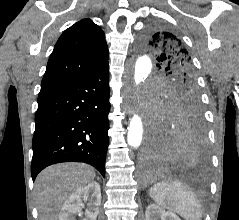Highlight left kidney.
I'll list each match as a JSON object with an SVG mask.
<instances>
[{
	"mask_svg": "<svg viewBox=\"0 0 239 220\" xmlns=\"http://www.w3.org/2000/svg\"><path fill=\"white\" fill-rule=\"evenodd\" d=\"M145 220H181L175 213L150 204L145 211Z\"/></svg>",
	"mask_w": 239,
	"mask_h": 220,
	"instance_id": "1",
	"label": "left kidney"
}]
</instances>
